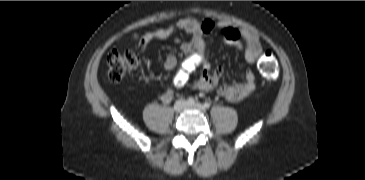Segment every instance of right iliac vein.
<instances>
[{"label": "right iliac vein", "instance_id": "obj_1", "mask_svg": "<svg viewBox=\"0 0 365 180\" xmlns=\"http://www.w3.org/2000/svg\"><path fill=\"white\" fill-rule=\"evenodd\" d=\"M186 106H187L186 101L183 99H180V100L176 101V103L174 104V110L179 113V112H182L186 108Z\"/></svg>", "mask_w": 365, "mask_h": 180}]
</instances>
